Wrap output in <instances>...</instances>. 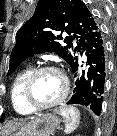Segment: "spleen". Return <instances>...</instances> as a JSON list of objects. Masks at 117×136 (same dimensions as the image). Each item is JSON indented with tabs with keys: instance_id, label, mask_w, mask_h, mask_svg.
I'll return each mask as SVG.
<instances>
[{
	"instance_id": "3e777b00",
	"label": "spleen",
	"mask_w": 117,
	"mask_h": 136,
	"mask_svg": "<svg viewBox=\"0 0 117 136\" xmlns=\"http://www.w3.org/2000/svg\"><path fill=\"white\" fill-rule=\"evenodd\" d=\"M56 112L64 118L66 134L74 131L80 123V112L73 106H61Z\"/></svg>"
}]
</instances>
